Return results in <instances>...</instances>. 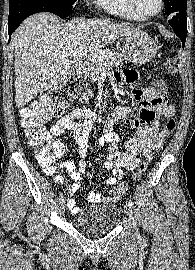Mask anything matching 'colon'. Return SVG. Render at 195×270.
Listing matches in <instances>:
<instances>
[{"mask_svg": "<svg viewBox=\"0 0 195 270\" xmlns=\"http://www.w3.org/2000/svg\"><path fill=\"white\" fill-rule=\"evenodd\" d=\"M164 67L170 73H175V60L172 58L165 60ZM83 85L82 79L70 78L21 110L20 125L23 133L29 145L35 150L38 161L47 173L52 174L55 172V162L62 155L63 146L60 142L52 140L49 132L43 127V122L49 118L61 116L75 99ZM154 89L159 99L167 98L168 90L163 81H156ZM176 125L177 122L174 118L168 119L160 131L158 142L164 143L167 137L173 133ZM146 168L147 160L140 163L133 175V180H139L145 173ZM58 181H62V178L59 177ZM127 189L128 184L121 183L116 187V193L122 195Z\"/></svg>", "mask_w": 195, "mask_h": 270, "instance_id": "1", "label": "colon"}]
</instances>
